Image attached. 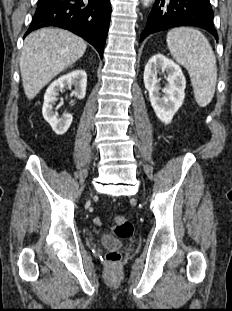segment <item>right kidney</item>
<instances>
[{
	"label": "right kidney",
	"instance_id": "ca27d5eb",
	"mask_svg": "<svg viewBox=\"0 0 232 311\" xmlns=\"http://www.w3.org/2000/svg\"><path fill=\"white\" fill-rule=\"evenodd\" d=\"M75 86L73 91L78 99H83L86 94L87 74L84 70H75L71 73L61 76L52 82L46 90L44 95V104L42 113L44 119L50 124L53 131L57 135H63L69 129L72 123V115L65 113L63 118H58L54 112L53 105L57 101L56 96L62 92L65 86Z\"/></svg>",
	"mask_w": 232,
	"mask_h": 311
}]
</instances>
